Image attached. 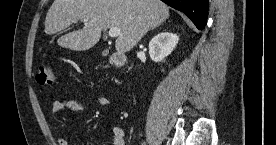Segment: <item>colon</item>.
Segmentation results:
<instances>
[{"instance_id":"1","label":"colon","mask_w":276,"mask_h":145,"mask_svg":"<svg viewBox=\"0 0 276 145\" xmlns=\"http://www.w3.org/2000/svg\"><path fill=\"white\" fill-rule=\"evenodd\" d=\"M55 72L51 66H41L39 67L36 80L38 84L44 86H51L55 83Z\"/></svg>"}]
</instances>
